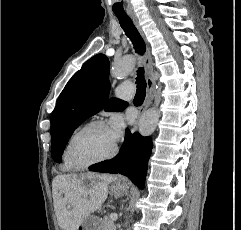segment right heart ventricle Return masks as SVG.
I'll return each instance as SVG.
<instances>
[{
	"label": "right heart ventricle",
	"mask_w": 241,
	"mask_h": 230,
	"mask_svg": "<svg viewBox=\"0 0 241 230\" xmlns=\"http://www.w3.org/2000/svg\"><path fill=\"white\" fill-rule=\"evenodd\" d=\"M63 169L66 171L71 170L72 168L70 167V165L68 164V162L65 159V150L63 152V165H62Z\"/></svg>",
	"instance_id": "e07e8e85"
}]
</instances>
